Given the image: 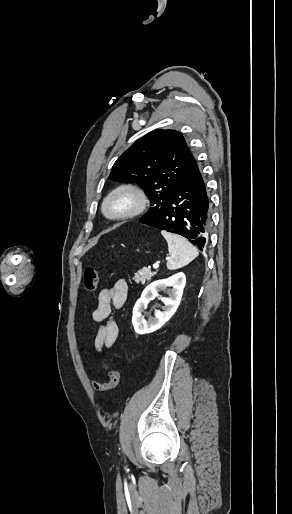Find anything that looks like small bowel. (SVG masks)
Listing matches in <instances>:
<instances>
[{
    "label": "small bowel",
    "instance_id": "small-bowel-1",
    "mask_svg": "<svg viewBox=\"0 0 292 514\" xmlns=\"http://www.w3.org/2000/svg\"><path fill=\"white\" fill-rule=\"evenodd\" d=\"M128 284L124 279L116 280L111 286L102 289L92 318L98 323L94 346L98 352L114 345L119 335V326L112 317V311L120 309L127 297ZM106 321L105 324L102 322Z\"/></svg>",
    "mask_w": 292,
    "mask_h": 514
}]
</instances>
